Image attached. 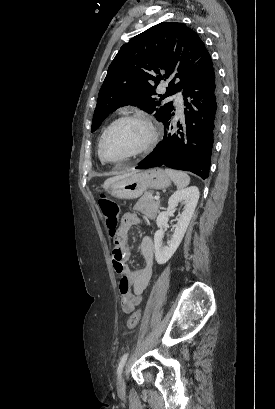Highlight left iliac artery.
Wrapping results in <instances>:
<instances>
[{
    "label": "left iliac artery",
    "instance_id": "1",
    "mask_svg": "<svg viewBox=\"0 0 275 409\" xmlns=\"http://www.w3.org/2000/svg\"><path fill=\"white\" fill-rule=\"evenodd\" d=\"M127 358H128V353H125V354L122 356V358H121V360H120V362H119L118 368H117V374H118V376L121 375L122 370H123V367H124V365H125V363H126V361H127Z\"/></svg>",
    "mask_w": 275,
    "mask_h": 409
}]
</instances>
